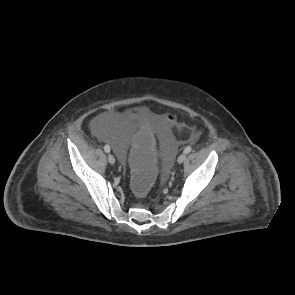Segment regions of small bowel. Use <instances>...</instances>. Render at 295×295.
<instances>
[{
  "label": "small bowel",
  "mask_w": 295,
  "mask_h": 295,
  "mask_svg": "<svg viewBox=\"0 0 295 295\" xmlns=\"http://www.w3.org/2000/svg\"><path fill=\"white\" fill-rule=\"evenodd\" d=\"M132 112H148L147 110H141V111H132ZM132 112H129L130 114H132ZM137 122V121H136ZM168 123L170 125H173L174 124V121H168Z\"/></svg>",
  "instance_id": "obj_1"
}]
</instances>
